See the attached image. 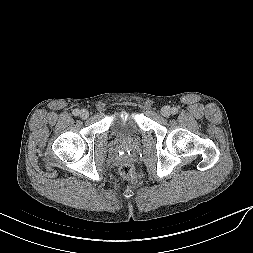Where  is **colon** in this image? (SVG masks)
I'll return each instance as SVG.
<instances>
[{"label": "colon", "instance_id": "5ec220e1", "mask_svg": "<svg viewBox=\"0 0 253 253\" xmlns=\"http://www.w3.org/2000/svg\"><path fill=\"white\" fill-rule=\"evenodd\" d=\"M120 175L128 181H133L136 177V172L133 165L125 163L120 168Z\"/></svg>", "mask_w": 253, "mask_h": 253}]
</instances>
